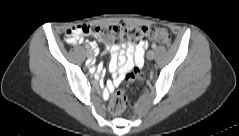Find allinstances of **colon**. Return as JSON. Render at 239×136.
<instances>
[{
    "instance_id": "1",
    "label": "colon",
    "mask_w": 239,
    "mask_h": 136,
    "mask_svg": "<svg viewBox=\"0 0 239 136\" xmlns=\"http://www.w3.org/2000/svg\"><path fill=\"white\" fill-rule=\"evenodd\" d=\"M95 33L104 41L117 43L121 38H128L132 41H140L144 38L150 40L168 44L170 42L169 33L162 28L158 27H138L130 26L126 24L99 26L92 29L90 26L82 24L70 28L66 32V40L69 43H74L80 36L89 35ZM144 77V68L142 66H136L125 75V81L127 83H134L140 81ZM127 100L122 90L116 91L109 102L110 112L117 116L123 113L126 109Z\"/></svg>"
}]
</instances>
